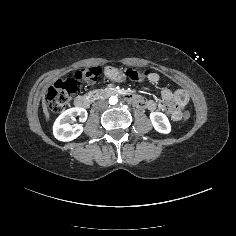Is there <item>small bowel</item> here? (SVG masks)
I'll return each instance as SVG.
<instances>
[{
  "mask_svg": "<svg viewBox=\"0 0 236 236\" xmlns=\"http://www.w3.org/2000/svg\"><path fill=\"white\" fill-rule=\"evenodd\" d=\"M159 80L158 75H153V78L151 79V82L156 83ZM165 97H168L169 91L164 90L163 92ZM175 97L177 98V105H176V113L173 116V119L179 120L181 117V109L187 104L188 102V95L184 91H178L175 94Z\"/></svg>",
  "mask_w": 236,
  "mask_h": 236,
  "instance_id": "1",
  "label": "small bowel"
}]
</instances>
